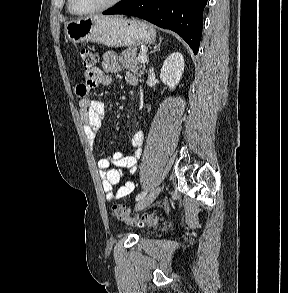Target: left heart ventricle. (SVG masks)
Returning a JSON list of instances; mask_svg holds the SVG:
<instances>
[{"label":"left heart ventricle","instance_id":"b2bd125f","mask_svg":"<svg viewBox=\"0 0 288 293\" xmlns=\"http://www.w3.org/2000/svg\"><path fill=\"white\" fill-rule=\"evenodd\" d=\"M110 0H74V5L79 10H90L108 3Z\"/></svg>","mask_w":288,"mask_h":293}]
</instances>
